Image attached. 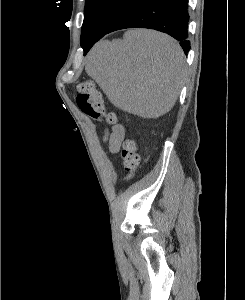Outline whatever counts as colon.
<instances>
[{"label":"colon","mask_w":245,"mask_h":300,"mask_svg":"<svg viewBox=\"0 0 245 300\" xmlns=\"http://www.w3.org/2000/svg\"><path fill=\"white\" fill-rule=\"evenodd\" d=\"M76 102L80 110L85 114L96 119H103L109 124L117 123L116 114L106 111L102 94L94 82L86 81L78 86ZM121 154L126 171V179H129L134 176L140 162L137 144L133 138L124 140Z\"/></svg>","instance_id":"colon-1"}]
</instances>
